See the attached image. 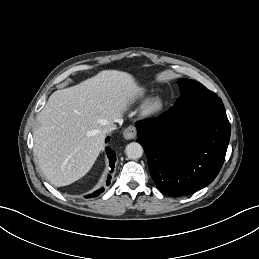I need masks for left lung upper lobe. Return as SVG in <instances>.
<instances>
[{
    "label": "left lung upper lobe",
    "instance_id": "left-lung-upper-lobe-1",
    "mask_svg": "<svg viewBox=\"0 0 259 259\" xmlns=\"http://www.w3.org/2000/svg\"><path fill=\"white\" fill-rule=\"evenodd\" d=\"M180 86V97L172 108L180 107L184 104L200 99L215 98L217 95L208 90L204 85L197 81L181 79L178 81Z\"/></svg>",
    "mask_w": 259,
    "mask_h": 259
}]
</instances>
